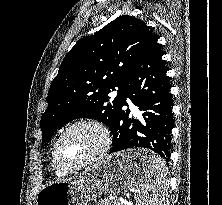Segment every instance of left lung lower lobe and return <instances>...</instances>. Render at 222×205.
I'll use <instances>...</instances> for the list:
<instances>
[{
	"label": "left lung lower lobe",
	"mask_w": 222,
	"mask_h": 205,
	"mask_svg": "<svg viewBox=\"0 0 222 205\" xmlns=\"http://www.w3.org/2000/svg\"><path fill=\"white\" fill-rule=\"evenodd\" d=\"M163 53L153 34L130 69L123 86V101L114 127L112 149L109 154L128 148H149L162 156L170 150L173 128L171 85L166 76L167 68ZM143 112V120L129 118L126 98ZM163 157V156H162ZM170 151L164 159L168 161Z\"/></svg>",
	"instance_id": "left-lung-lower-lobe-1"
}]
</instances>
